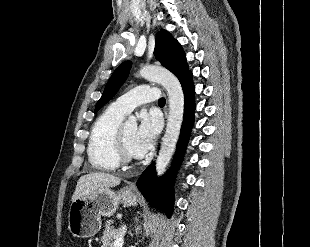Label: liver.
Listing matches in <instances>:
<instances>
[{
    "label": "liver",
    "instance_id": "6515ba94",
    "mask_svg": "<svg viewBox=\"0 0 310 247\" xmlns=\"http://www.w3.org/2000/svg\"><path fill=\"white\" fill-rule=\"evenodd\" d=\"M121 179L104 172H92L79 178L72 201L89 196L101 188H110L119 185Z\"/></svg>",
    "mask_w": 310,
    "mask_h": 247
}]
</instances>
